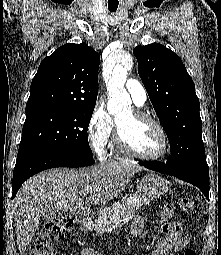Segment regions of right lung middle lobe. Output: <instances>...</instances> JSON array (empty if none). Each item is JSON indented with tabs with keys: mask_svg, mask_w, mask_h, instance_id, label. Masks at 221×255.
<instances>
[{
	"mask_svg": "<svg viewBox=\"0 0 221 255\" xmlns=\"http://www.w3.org/2000/svg\"><path fill=\"white\" fill-rule=\"evenodd\" d=\"M95 106L26 112L20 148L35 147L93 158L88 126Z\"/></svg>",
	"mask_w": 221,
	"mask_h": 255,
	"instance_id": "obj_1",
	"label": "right lung middle lobe"
}]
</instances>
